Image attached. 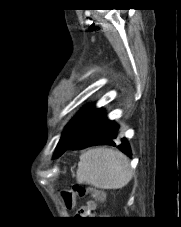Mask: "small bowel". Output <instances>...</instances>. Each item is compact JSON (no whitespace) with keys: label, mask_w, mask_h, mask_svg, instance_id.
I'll return each mask as SVG.
<instances>
[{"label":"small bowel","mask_w":181,"mask_h":227,"mask_svg":"<svg viewBox=\"0 0 181 227\" xmlns=\"http://www.w3.org/2000/svg\"><path fill=\"white\" fill-rule=\"evenodd\" d=\"M96 204L94 202H89L86 206L80 208L79 214L80 215H87L91 211L95 210Z\"/></svg>","instance_id":"small-bowel-1"}]
</instances>
